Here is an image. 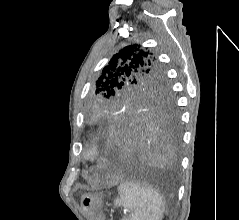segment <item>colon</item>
<instances>
[{"label": "colon", "instance_id": "colon-1", "mask_svg": "<svg viewBox=\"0 0 239 220\" xmlns=\"http://www.w3.org/2000/svg\"><path fill=\"white\" fill-rule=\"evenodd\" d=\"M111 89L110 88H106L102 90V94L104 95H110Z\"/></svg>", "mask_w": 239, "mask_h": 220}]
</instances>
